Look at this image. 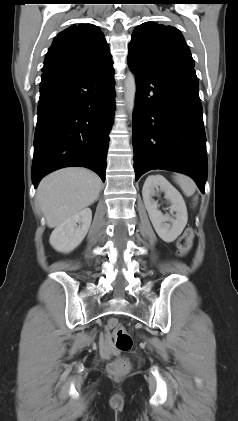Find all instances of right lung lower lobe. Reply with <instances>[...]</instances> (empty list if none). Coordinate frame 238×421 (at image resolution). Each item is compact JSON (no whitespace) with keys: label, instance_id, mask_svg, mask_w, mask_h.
<instances>
[{"label":"right lung lower lobe","instance_id":"obj_1","mask_svg":"<svg viewBox=\"0 0 238 421\" xmlns=\"http://www.w3.org/2000/svg\"><path fill=\"white\" fill-rule=\"evenodd\" d=\"M112 65L44 70L34 137L32 181L83 166L105 181L115 110Z\"/></svg>","mask_w":238,"mask_h":421}]
</instances>
